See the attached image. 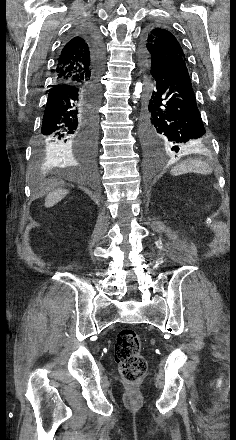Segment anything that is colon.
I'll list each match as a JSON object with an SVG mask.
<instances>
[{"instance_id": "obj_1", "label": "colon", "mask_w": 236, "mask_h": 440, "mask_svg": "<svg viewBox=\"0 0 236 440\" xmlns=\"http://www.w3.org/2000/svg\"><path fill=\"white\" fill-rule=\"evenodd\" d=\"M114 352L120 373L126 381H137L143 377L147 363L141 355V340L135 330L124 328L119 331Z\"/></svg>"}]
</instances>
